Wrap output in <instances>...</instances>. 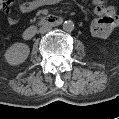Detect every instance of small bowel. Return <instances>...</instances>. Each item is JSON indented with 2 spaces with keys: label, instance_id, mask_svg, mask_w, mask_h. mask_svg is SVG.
I'll list each match as a JSON object with an SVG mask.
<instances>
[{
  "label": "small bowel",
  "instance_id": "small-bowel-1",
  "mask_svg": "<svg viewBox=\"0 0 119 119\" xmlns=\"http://www.w3.org/2000/svg\"><path fill=\"white\" fill-rule=\"evenodd\" d=\"M53 2V0L22 1L19 3L18 8L21 13H30L41 6L52 4ZM14 4V0H6L2 4L4 11L8 14L6 19L10 25L18 23V18L9 14ZM92 4L99 18L91 22V34L98 38H107L118 25L116 8L103 0H93Z\"/></svg>",
  "mask_w": 119,
  "mask_h": 119
}]
</instances>
